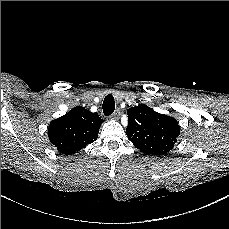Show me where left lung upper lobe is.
I'll return each instance as SVG.
<instances>
[{
    "label": "left lung upper lobe",
    "mask_w": 229,
    "mask_h": 229,
    "mask_svg": "<svg viewBox=\"0 0 229 229\" xmlns=\"http://www.w3.org/2000/svg\"><path fill=\"white\" fill-rule=\"evenodd\" d=\"M128 139L146 155H161L169 152L180 134L176 119L160 114L142 104L127 110Z\"/></svg>",
    "instance_id": "5c2ea615"
}]
</instances>
